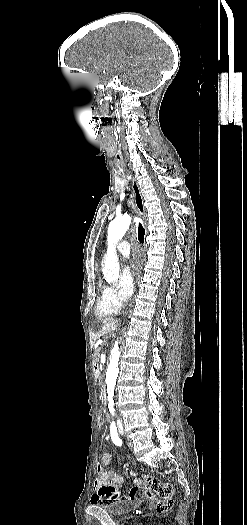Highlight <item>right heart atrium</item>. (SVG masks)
Here are the masks:
<instances>
[{
	"instance_id": "obj_1",
	"label": "right heart atrium",
	"mask_w": 247,
	"mask_h": 525,
	"mask_svg": "<svg viewBox=\"0 0 247 525\" xmlns=\"http://www.w3.org/2000/svg\"><path fill=\"white\" fill-rule=\"evenodd\" d=\"M113 294H114V290H113V289H107V290H106L105 295H106L107 297H111V296H113Z\"/></svg>"
}]
</instances>
